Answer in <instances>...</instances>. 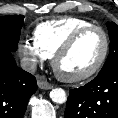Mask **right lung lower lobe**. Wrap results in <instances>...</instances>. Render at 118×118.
Returning a JSON list of instances; mask_svg holds the SVG:
<instances>
[{"instance_id":"right-lung-lower-lobe-1","label":"right lung lower lobe","mask_w":118,"mask_h":118,"mask_svg":"<svg viewBox=\"0 0 118 118\" xmlns=\"http://www.w3.org/2000/svg\"><path fill=\"white\" fill-rule=\"evenodd\" d=\"M36 79L17 67L11 51L0 49V118H23Z\"/></svg>"}]
</instances>
